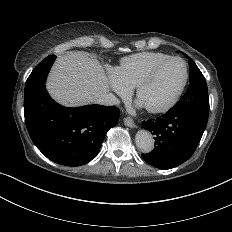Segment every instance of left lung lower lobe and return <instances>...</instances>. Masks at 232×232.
<instances>
[{"instance_id": "0a47b994", "label": "left lung lower lobe", "mask_w": 232, "mask_h": 232, "mask_svg": "<svg viewBox=\"0 0 232 232\" xmlns=\"http://www.w3.org/2000/svg\"><path fill=\"white\" fill-rule=\"evenodd\" d=\"M207 120L185 110H169L162 116L142 122L154 135L155 147L142 158L159 169H171L187 161L195 152Z\"/></svg>"}]
</instances>
